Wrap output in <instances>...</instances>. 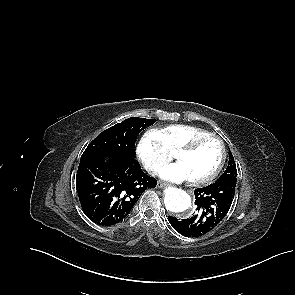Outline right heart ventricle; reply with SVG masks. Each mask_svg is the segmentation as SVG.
<instances>
[{
	"mask_svg": "<svg viewBox=\"0 0 295 295\" xmlns=\"http://www.w3.org/2000/svg\"><path fill=\"white\" fill-rule=\"evenodd\" d=\"M155 132L169 152H176L191 139L209 133L205 129L185 124L167 125L157 129Z\"/></svg>",
	"mask_w": 295,
	"mask_h": 295,
	"instance_id": "e07e8e85",
	"label": "right heart ventricle"
}]
</instances>
